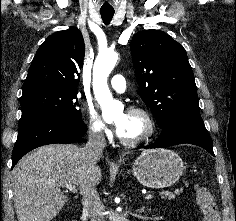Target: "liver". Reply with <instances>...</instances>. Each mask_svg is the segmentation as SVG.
<instances>
[{
  "label": "liver",
  "mask_w": 236,
  "mask_h": 221,
  "mask_svg": "<svg viewBox=\"0 0 236 221\" xmlns=\"http://www.w3.org/2000/svg\"><path fill=\"white\" fill-rule=\"evenodd\" d=\"M13 199L18 221H50L68 197L61 184L76 185L80 193L102 177L97 165L85 162L75 145L42 146L23 157L13 169Z\"/></svg>",
  "instance_id": "obj_1"
}]
</instances>
